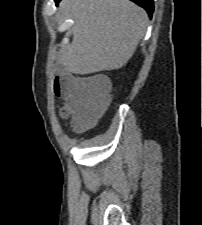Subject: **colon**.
I'll return each instance as SVG.
<instances>
[{
	"label": "colon",
	"mask_w": 202,
	"mask_h": 225,
	"mask_svg": "<svg viewBox=\"0 0 202 225\" xmlns=\"http://www.w3.org/2000/svg\"><path fill=\"white\" fill-rule=\"evenodd\" d=\"M112 87L109 83L86 76L68 77L59 79L55 83V91L58 94L72 93L85 98L86 107L91 115L103 112L110 103ZM63 118H68L71 112L65 108L60 110Z\"/></svg>",
	"instance_id": "colon-1"
}]
</instances>
